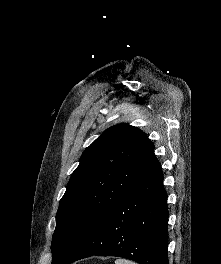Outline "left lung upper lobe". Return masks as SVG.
I'll use <instances>...</instances> for the list:
<instances>
[{"label":"left lung upper lobe","instance_id":"obj_1","mask_svg":"<svg viewBox=\"0 0 221 264\" xmlns=\"http://www.w3.org/2000/svg\"><path fill=\"white\" fill-rule=\"evenodd\" d=\"M159 161L154 145L128 124L110 127L82 154L60 200L52 264L70 254Z\"/></svg>","mask_w":221,"mask_h":264}]
</instances>
